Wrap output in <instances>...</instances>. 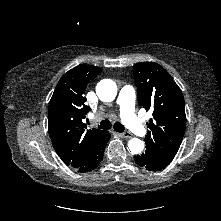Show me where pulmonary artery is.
Instances as JSON below:
<instances>
[{"instance_id":"1","label":"pulmonary artery","mask_w":221,"mask_h":221,"mask_svg":"<svg viewBox=\"0 0 221 221\" xmlns=\"http://www.w3.org/2000/svg\"><path fill=\"white\" fill-rule=\"evenodd\" d=\"M117 104L120 107V114L126 126L135 134L143 136L146 133L138 117L135 115V91L131 86H124L118 95Z\"/></svg>"}]
</instances>
